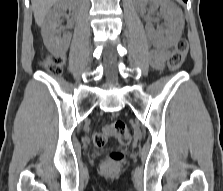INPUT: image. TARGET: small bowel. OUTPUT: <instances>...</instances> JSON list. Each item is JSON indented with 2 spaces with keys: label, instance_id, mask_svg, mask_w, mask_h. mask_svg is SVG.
Masks as SVG:
<instances>
[{
  "label": "small bowel",
  "instance_id": "c3829d8e",
  "mask_svg": "<svg viewBox=\"0 0 223 191\" xmlns=\"http://www.w3.org/2000/svg\"><path fill=\"white\" fill-rule=\"evenodd\" d=\"M168 57V51L164 48H155L149 54L150 64L157 70L164 68L165 61Z\"/></svg>",
  "mask_w": 223,
  "mask_h": 191
}]
</instances>
